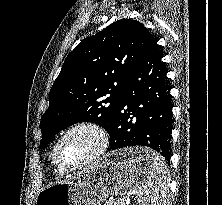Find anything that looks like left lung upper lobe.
I'll return each instance as SVG.
<instances>
[{
	"instance_id": "obj_1",
	"label": "left lung upper lobe",
	"mask_w": 222,
	"mask_h": 205,
	"mask_svg": "<svg viewBox=\"0 0 222 205\" xmlns=\"http://www.w3.org/2000/svg\"><path fill=\"white\" fill-rule=\"evenodd\" d=\"M150 36L141 22L121 19L85 38L69 53L41 118L40 148L77 122H93L110 132L127 75Z\"/></svg>"
}]
</instances>
